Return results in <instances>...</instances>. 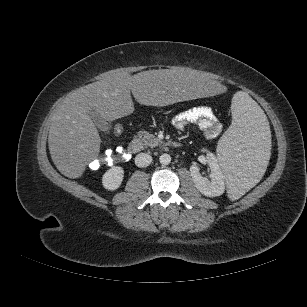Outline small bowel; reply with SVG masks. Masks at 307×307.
<instances>
[{
	"mask_svg": "<svg viewBox=\"0 0 307 307\" xmlns=\"http://www.w3.org/2000/svg\"><path fill=\"white\" fill-rule=\"evenodd\" d=\"M172 124L178 130L186 129L189 124H196L210 139L222 132V124L208 106H198L183 111L172 119Z\"/></svg>",
	"mask_w": 307,
	"mask_h": 307,
	"instance_id": "1",
	"label": "small bowel"
}]
</instances>
